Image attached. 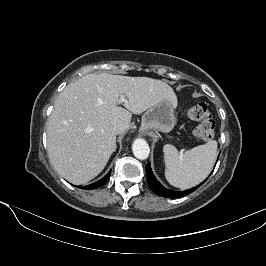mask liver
Returning a JSON list of instances; mask_svg holds the SVG:
<instances>
[{"label":"liver","mask_w":266,"mask_h":266,"mask_svg":"<svg viewBox=\"0 0 266 266\" xmlns=\"http://www.w3.org/2000/svg\"><path fill=\"white\" fill-rule=\"evenodd\" d=\"M127 97L124 109L118 106ZM162 100L177 106L173 89L149 77L108 73L87 74L67 85L54 104L47 123L50 163L72 184H85L105 168L116 150L111 123L122 120L129 127L132 113L141 114Z\"/></svg>","instance_id":"obj_1"}]
</instances>
